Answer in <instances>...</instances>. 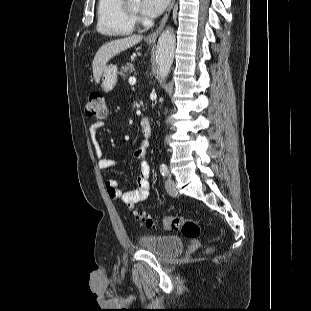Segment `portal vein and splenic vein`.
<instances>
[{
	"instance_id": "obj_1",
	"label": "portal vein and splenic vein",
	"mask_w": 311,
	"mask_h": 311,
	"mask_svg": "<svg viewBox=\"0 0 311 311\" xmlns=\"http://www.w3.org/2000/svg\"><path fill=\"white\" fill-rule=\"evenodd\" d=\"M136 83V78L135 77H130L129 78V84L134 85Z\"/></svg>"
}]
</instances>
